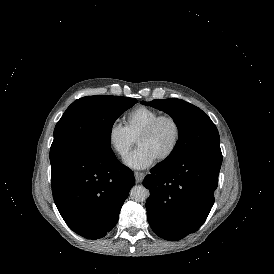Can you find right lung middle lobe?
<instances>
[{"label": "right lung middle lobe", "instance_id": "obj_1", "mask_svg": "<svg viewBox=\"0 0 274 274\" xmlns=\"http://www.w3.org/2000/svg\"><path fill=\"white\" fill-rule=\"evenodd\" d=\"M135 103V98L108 95L74 101L56 124L51 164L67 155L111 152L112 126Z\"/></svg>", "mask_w": 274, "mask_h": 274}]
</instances>
